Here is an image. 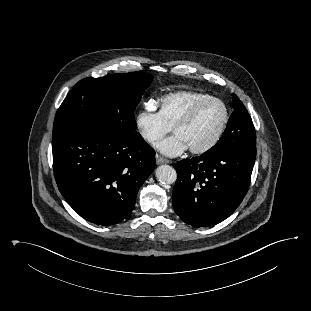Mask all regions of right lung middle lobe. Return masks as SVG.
<instances>
[{"instance_id": "dd1d6c3e", "label": "right lung middle lobe", "mask_w": 311, "mask_h": 311, "mask_svg": "<svg viewBox=\"0 0 311 311\" xmlns=\"http://www.w3.org/2000/svg\"><path fill=\"white\" fill-rule=\"evenodd\" d=\"M152 79L143 72L82 79L56 113L53 138L71 133L134 134V110Z\"/></svg>"}]
</instances>
